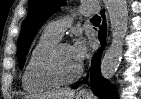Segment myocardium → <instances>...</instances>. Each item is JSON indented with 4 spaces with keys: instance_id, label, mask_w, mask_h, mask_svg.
<instances>
[{
    "instance_id": "myocardium-1",
    "label": "myocardium",
    "mask_w": 141,
    "mask_h": 99,
    "mask_svg": "<svg viewBox=\"0 0 141 99\" xmlns=\"http://www.w3.org/2000/svg\"><path fill=\"white\" fill-rule=\"evenodd\" d=\"M64 45H67L64 42H56L50 46L41 56L37 72L38 75L45 81L52 83L56 86L67 85L76 81L82 74V66H79L78 70L69 77L61 76L55 67V59L58 51Z\"/></svg>"
}]
</instances>
